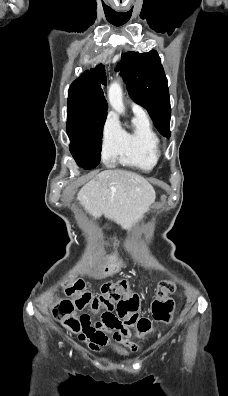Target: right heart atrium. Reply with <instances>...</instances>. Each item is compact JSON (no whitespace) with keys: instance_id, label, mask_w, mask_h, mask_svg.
<instances>
[{"instance_id":"right-heart-atrium-1","label":"right heart atrium","mask_w":228,"mask_h":396,"mask_svg":"<svg viewBox=\"0 0 228 396\" xmlns=\"http://www.w3.org/2000/svg\"><path fill=\"white\" fill-rule=\"evenodd\" d=\"M122 136V128L116 118L108 115L102 128V156L106 162L116 158Z\"/></svg>"}]
</instances>
